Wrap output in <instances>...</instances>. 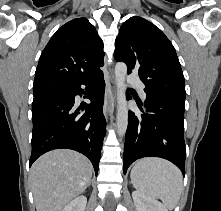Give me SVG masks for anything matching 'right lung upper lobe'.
Wrapping results in <instances>:
<instances>
[{"instance_id":"right-lung-upper-lobe-1","label":"right lung upper lobe","mask_w":221,"mask_h":211,"mask_svg":"<svg viewBox=\"0 0 221 211\" xmlns=\"http://www.w3.org/2000/svg\"><path fill=\"white\" fill-rule=\"evenodd\" d=\"M103 42L95 27L78 18L64 24L44 48L35 72L33 92L93 76L104 65Z\"/></svg>"}]
</instances>
